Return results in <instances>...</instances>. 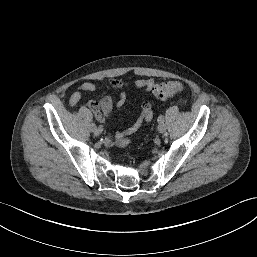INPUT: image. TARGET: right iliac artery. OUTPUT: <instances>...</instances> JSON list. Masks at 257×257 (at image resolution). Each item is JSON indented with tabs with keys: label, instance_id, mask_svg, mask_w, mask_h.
<instances>
[{
	"label": "right iliac artery",
	"instance_id": "right-iliac-artery-1",
	"mask_svg": "<svg viewBox=\"0 0 257 257\" xmlns=\"http://www.w3.org/2000/svg\"><path fill=\"white\" fill-rule=\"evenodd\" d=\"M91 128H92V131H93V130L96 128V124H95V123H92ZM100 128L102 129L101 126H100Z\"/></svg>",
	"mask_w": 257,
	"mask_h": 257
}]
</instances>
